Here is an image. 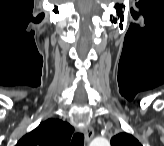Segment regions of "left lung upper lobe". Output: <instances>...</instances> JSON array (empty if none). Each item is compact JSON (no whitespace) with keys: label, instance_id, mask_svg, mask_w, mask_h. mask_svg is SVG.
Wrapping results in <instances>:
<instances>
[{"label":"left lung upper lobe","instance_id":"obj_1","mask_svg":"<svg viewBox=\"0 0 164 146\" xmlns=\"http://www.w3.org/2000/svg\"><path fill=\"white\" fill-rule=\"evenodd\" d=\"M111 146H141L132 135L122 132L112 137Z\"/></svg>","mask_w":164,"mask_h":146}]
</instances>
